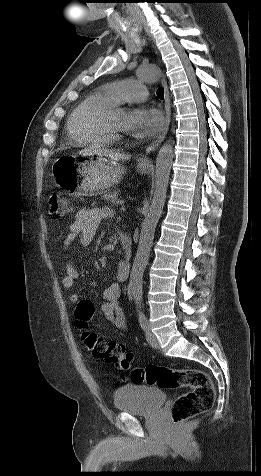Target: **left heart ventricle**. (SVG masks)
I'll list each match as a JSON object with an SVG mask.
<instances>
[{
	"label": "left heart ventricle",
	"mask_w": 261,
	"mask_h": 476,
	"mask_svg": "<svg viewBox=\"0 0 261 476\" xmlns=\"http://www.w3.org/2000/svg\"><path fill=\"white\" fill-rule=\"evenodd\" d=\"M127 117V113L121 109H117V111L113 115V124L120 130L126 131L125 128V120Z\"/></svg>",
	"instance_id": "b2bd125f"
}]
</instances>
